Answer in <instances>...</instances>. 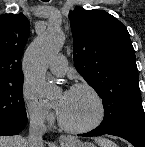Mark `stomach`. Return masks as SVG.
<instances>
[{
	"label": "stomach",
	"mask_w": 145,
	"mask_h": 147,
	"mask_svg": "<svg viewBox=\"0 0 145 147\" xmlns=\"http://www.w3.org/2000/svg\"><path fill=\"white\" fill-rule=\"evenodd\" d=\"M62 147H95L91 143H83L80 142L79 140H72L68 144H64Z\"/></svg>",
	"instance_id": "stomach-1"
}]
</instances>
